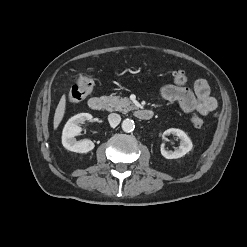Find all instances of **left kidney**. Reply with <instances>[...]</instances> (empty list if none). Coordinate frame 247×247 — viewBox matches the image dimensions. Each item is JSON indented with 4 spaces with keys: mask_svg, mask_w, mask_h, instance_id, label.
I'll return each instance as SVG.
<instances>
[{
    "mask_svg": "<svg viewBox=\"0 0 247 247\" xmlns=\"http://www.w3.org/2000/svg\"><path fill=\"white\" fill-rule=\"evenodd\" d=\"M169 134H173L179 137L180 147L175 151H167L164 148V144H162L161 154L163 157H165L166 159H177L183 157L185 154H187L189 151L192 150L193 148L192 141L184 131L176 128H170L163 133V137Z\"/></svg>",
    "mask_w": 247,
    "mask_h": 247,
    "instance_id": "1",
    "label": "left kidney"
}]
</instances>
